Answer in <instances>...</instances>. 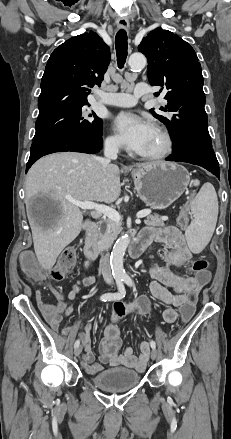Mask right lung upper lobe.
I'll list each match as a JSON object with an SVG mask.
<instances>
[{"instance_id": "1", "label": "right lung upper lobe", "mask_w": 231, "mask_h": 439, "mask_svg": "<svg viewBox=\"0 0 231 439\" xmlns=\"http://www.w3.org/2000/svg\"><path fill=\"white\" fill-rule=\"evenodd\" d=\"M110 62V49L94 32L70 38L57 47L46 65L38 99V118L88 104Z\"/></svg>"}]
</instances>
